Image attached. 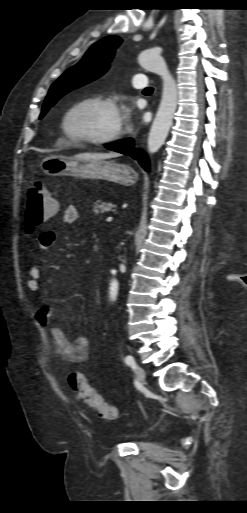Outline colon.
Segmentation results:
<instances>
[{
	"label": "colon",
	"mask_w": 247,
	"mask_h": 513,
	"mask_svg": "<svg viewBox=\"0 0 247 513\" xmlns=\"http://www.w3.org/2000/svg\"><path fill=\"white\" fill-rule=\"evenodd\" d=\"M59 211V204L45 185L33 183L25 200V222L28 232L35 231ZM71 389L90 408L104 419L113 420L117 416L116 408L110 405L87 381L82 373H72L68 378Z\"/></svg>",
	"instance_id": "obj_1"
}]
</instances>
